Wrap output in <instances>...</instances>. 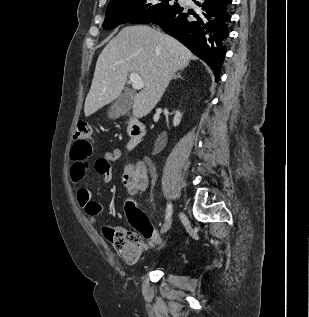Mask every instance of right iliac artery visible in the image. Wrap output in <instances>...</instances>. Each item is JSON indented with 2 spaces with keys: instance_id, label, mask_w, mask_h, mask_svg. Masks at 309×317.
I'll return each mask as SVG.
<instances>
[{
  "instance_id": "82829eb1",
  "label": "right iliac artery",
  "mask_w": 309,
  "mask_h": 317,
  "mask_svg": "<svg viewBox=\"0 0 309 317\" xmlns=\"http://www.w3.org/2000/svg\"><path fill=\"white\" fill-rule=\"evenodd\" d=\"M172 215V206L170 203L167 204V209H166V220L171 217Z\"/></svg>"
}]
</instances>
